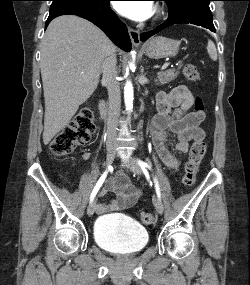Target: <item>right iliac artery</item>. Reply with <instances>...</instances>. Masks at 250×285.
Instances as JSON below:
<instances>
[{
    "instance_id": "1",
    "label": "right iliac artery",
    "mask_w": 250,
    "mask_h": 285,
    "mask_svg": "<svg viewBox=\"0 0 250 285\" xmlns=\"http://www.w3.org/2000/svg\"><path fill=\"white\" fill-rule=\"evenodd\" d=\"M111 167H109L110 169ZM107 171L104 172L102 174V176L99 178L98 182L96 183L92 193H91V196H90V202L94 199V197L96 196L97 192L99 191L100 187L102 186L103 182L105 181V178L107 176Z\"/></svg>"
}]
</instances>
